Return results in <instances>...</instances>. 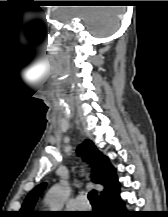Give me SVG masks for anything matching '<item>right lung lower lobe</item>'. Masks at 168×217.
Returning a JSON list of instances; mask_svg holds the SVG:
<instances>
[{
  "instance_id": "1",
  "label": "right lung lower lobe",
  "mask_w": 168,
  "mask_h": 217,
  "mask_svg": "<svg viewBox=\"0 0 168 217\" xmlns=\"http://www.w3.org/2000/svg\"><path fill=\"white\" fill-rule=\"evenodd\" d=\"M100 217H133L134 215L127 211L124 202L121 200L119 191L100 201Z\"/></svg>"
}]
</instances>
